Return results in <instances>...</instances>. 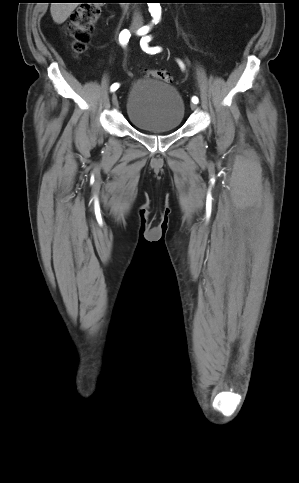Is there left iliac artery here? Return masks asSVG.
<instances>
[{
    "label": "left iliac artery",
    "mask_w": 299,
    "mask_h": 483,
    "mask_svg": "<svg viewBox=\"0 0 299 483\" xmlns=\"http://www.w3.org/2000/svg\"><path fill=\"white\" fill-rule=\"evenodd\" d=\"M151 40V37L150 36H145L141 39L140 41V45H141V48L146 51L147 53H150V54H156L158 52L161 51V48L160 47H148V42ZM179 64L181 66V68H184V65L181 61H179ZM198 98L196 96H193L192 97V102L197 104L198 103Z\"/></svg>",
    "instance_id": "1"
}]
</instances>
